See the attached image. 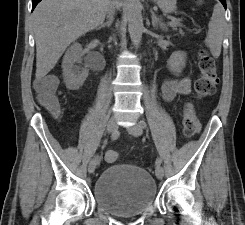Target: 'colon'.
Masks as SVG:
<instances>
[{
  "label": "colon",
  "mask_w": 245,
  "mask_h": 225,
  "mask_svg": "<svg viewBox=\"0 0 245 225\" xmlns=\"http://www.w3.org/2000/svg\"><path fill=\"white\" fill-rule=\"evenodd\" d=\"M198 68L200 72L199 78L195 82V95L197 97H206L212 95L218 83V73L213 57L205 49L198 52ZM56 83L53 81L38 88V98L42 104L54 112L61 110V104L56 96ZM201 129L200 121L195 115L192 103L187 102L184 106L183 115V132L184 136L189 138ZM107 161L112 159L111 155H107Z\"/></svg>",
  "instance_id": "obj_1"
}]
</instances>
